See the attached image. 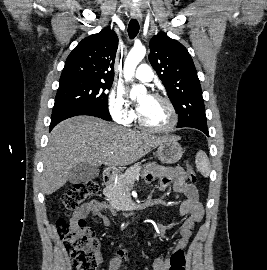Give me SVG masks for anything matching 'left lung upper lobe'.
I'll use <instances>...</instances> for the list:
<instances>
[{
	"label": "left lung upper lobe",
	"instance_id": "left-lung-upper-lobe-1",
	"mask_svg": "<svg viewBox=\"0 0 267 270\" xmlns=\"http://www.w3.org/2000/svg\"><path fill=\"white\" fill-rule=\"evenodd\" d=\"M148 58L179 115L177 127L207 126L200 82L187 49L177 40L159 33L150 41Z\"/></svg>",
	"mask_w": 267,
	"mask_h": 270
}]
</instances>
